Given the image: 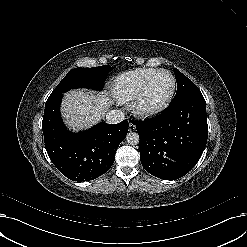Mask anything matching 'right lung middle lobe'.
<instances>
[{"mask_svg": "<svg viewBox=\"0 0 247 247\" xmlns=\"http://www.w3.org/2000/svg\"><path fill=\"white\" fill-rule=\"evenodd\" d=\"M111 69L109 65L94 68H74L57 85L49 98L63 96L65 92L75 88L101 90L104 79Z\"/></svg>", "mask_w": 247, "mask_h": 247, "instance_id": "obj_1", "label": "right lung middle lobe"}]
</instances>
